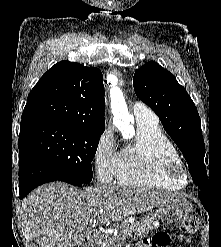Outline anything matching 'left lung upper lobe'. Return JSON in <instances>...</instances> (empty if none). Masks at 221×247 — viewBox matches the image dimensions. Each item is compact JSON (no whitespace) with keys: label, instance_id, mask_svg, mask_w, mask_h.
Returning <instances> with one entry per match:
<instances>
[{"label":"left lung upper lobe","instance_id":"1","mask_svg":"<svg viewBox=\"0 0 221 247\" xmlns=\"http://www.w3.org/2000/svg\"><path fill=\"white\" fill-rule=\"evenodd\" d=\"M133 86L137 97L157 114L182 151L193 181L200 189L209 190L200 117L186 89L156 62H148L135 72Z\"/></svg>","mask_w":221,"mask_h":247}]
</instances>
